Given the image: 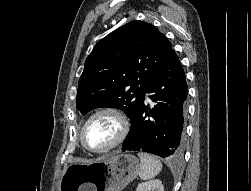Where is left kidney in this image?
I'll use <instances>...</instances> for the list:
<instances>
[{
  "instance_id": "obj_1",
  "label": "left kidney",
  "mask_w": 251,
  "mask_h": 191,
  "mask_svg": "<svg viewBox=\"0 0 251 191\" xmlns=\"http://www.w3.org/2000/svg\"><path fill=\"white\" fill-rule=\"evenodd\" d=\"M136 191H164V187L160 179H150V181L139 183Z\"/></svg>"
}]
</instances>
